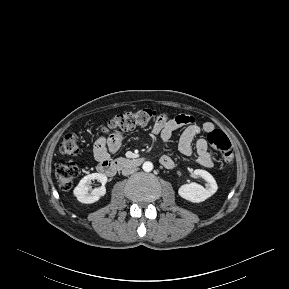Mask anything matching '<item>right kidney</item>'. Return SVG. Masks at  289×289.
Returning a JSON list of instances; mask_svg holds the SVG:
<instances>
[{"mask_svg":"<svg viewBox=\"0 0 289 289\" xmlns=\"http://www.w3.org/2000/svg\"><path fill=\"white\" fill-rule=\"evenodd\" d=\"M92 180H97L102 184L101 187L91 189ZM107 177L100 173H92L83 177L79 184L75 187L73 193L77 200L81 203L91 204L98 201L101 197L106 194L105 184Z\"/></svg>","mask_w":289,"mask_h":289,"instance_id":"1","label":"right kidney"}]
</instances>
